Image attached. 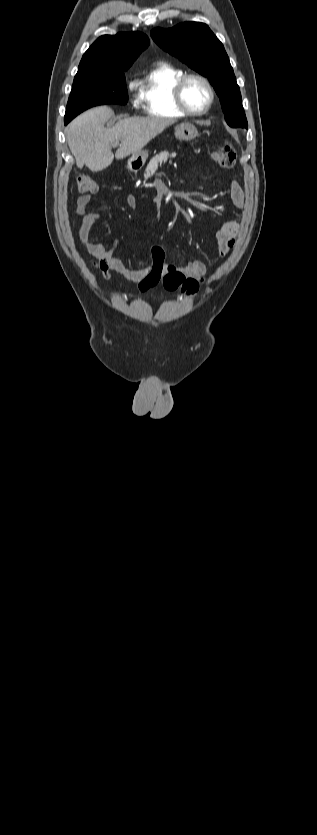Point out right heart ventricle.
<instances>
[{
  "mask_svg": "<svg viewBox=\"0 0 317 835\" xmlns=\"http://www.w3.org/2000/svg\"><path fill=\"white\" fill-rule=\"evenodd\" d=\"M185 72L170 63H157L140 83V100L147 115L172 119L184 117L174 98V87Z\"/></svg>",
  "mask_w": 317,
  "mask_h": 835,
  "instance_id": "1",
  "label": "right heart ventricle"
}]
</instances>
